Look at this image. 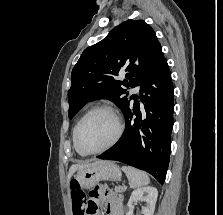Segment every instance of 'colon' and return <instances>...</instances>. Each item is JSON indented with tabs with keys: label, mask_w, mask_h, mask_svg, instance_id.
<instances>
[{
	"label": "colon",
	"mask_w": 223,
	"mask_h": 215,
	"mask_svg": "<svg viewBox=\"0 0 223 215\" xmlns=\"http://www.w3.org/2000/svg\"><path fill=\"white\" fill-rule=\"evenodd\" d=\"M71 199L74 215H86L89 206L86 200L85 193L76 181L71 184Z\"/></svg>",
	"instance_id": "1"
}]
</instances>
